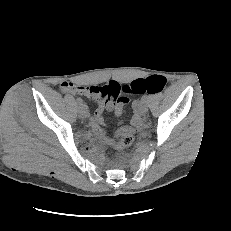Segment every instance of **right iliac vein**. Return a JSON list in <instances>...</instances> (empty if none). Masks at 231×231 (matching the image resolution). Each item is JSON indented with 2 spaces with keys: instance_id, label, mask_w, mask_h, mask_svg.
<instances>
[{
  "instance_id": "1",
  "label": "right iliac vein",
  "mask_w": 231,
  "mask_h": 231,
  "mask_svg": "<svg viewBox=\"0 0 231 231\" xmlns=\"http://www.w3.org/2000/svg\"><path fill=\"white\" fill-rule=\"evenodd\" d=\"M78 114H79V117L83 118V119L88 116V110H87L86 105L82 104V105L79 106Z\"/></svg>"
}]
</instances>
